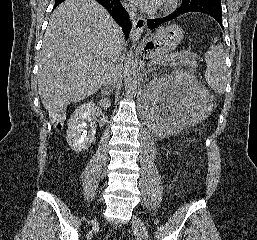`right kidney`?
<instances>
[{"instance_id":"1","label":"right kidney","mask_w":257,"mask_h":240,"mask_svg":"<svg viewBox=\"0 0 257 240\" xmlns=\"http://www.w3.org/2000/svg\"><path fill=\"white\" fill-rule=\"evenodd\" d=\"M103 108L110 106V100L105 98L99 102ZM96 106L86 103L79 106L72 114L67 123L66 139L70 148L76 152H82L91 145L94 140L96 129L93 124L87 125L94 119Z\"/></svg>"}]
</instances>
